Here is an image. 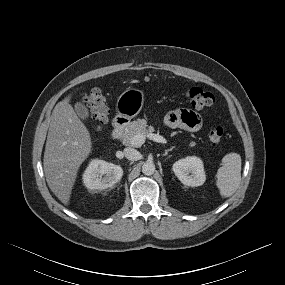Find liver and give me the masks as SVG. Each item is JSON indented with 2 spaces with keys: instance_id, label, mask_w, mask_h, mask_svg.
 Returning a JSON list of instances; mask_svg holds the SVG:
<instances>
[{
  "instance_id": "obj_1",
  "label": "liver",
  "mask_w": 285,
  "mask_h": 285,
  "mask_svg": "<svg viewBox=\"0 0 285 285\" xmlns=\"http://www.w3.org/2000/svg\"><path fill=\"white\" fill-rule=\"evenodd\" d=\"M71 97L58 102L52 112L43 160L47 184L65 205L78 169L92 150L90 133L71 106Z\"/></svg>"
}]
</instances>
